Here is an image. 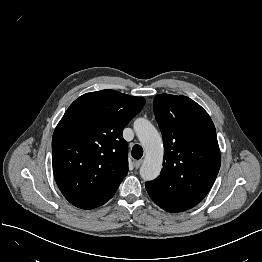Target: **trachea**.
Returning <instances> with one entry per match:
<instances>
[{"mask_svg":"<svg viewBox=\"0 0 262 262\" xmlns=\"http://www.w3.org/2000/svg\"><path fill=\"white\" fill-rule=\"evenodd\" d=\"M143 156V148L140 145H135L132 148V157L135 159H140Z\"/></svg>","mask_w":262,"mask_h":262,"instance_id":"trachea-1","label":"trachea"}]
</instances>
